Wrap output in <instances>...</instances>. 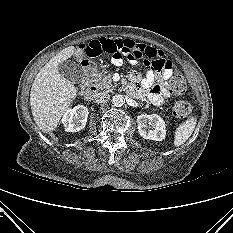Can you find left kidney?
I'll return each mask as SVG.
<instances>
[{"label": "left kidney", "mask_w": 233, "mask_h": 233, "mask_svg": "<svg viewBox=\"0 0 233 233\" xmlns=\"http://www.w3.org/2000/svg\"><path fill=\"white\" fill-rule=\"evenodd\" d=\"M137 125L138 132L144 139L162 141L165 138V123L157 114L139 115Z\"/></svg>", "instance_id": "5707ae66"}]
</instances>
